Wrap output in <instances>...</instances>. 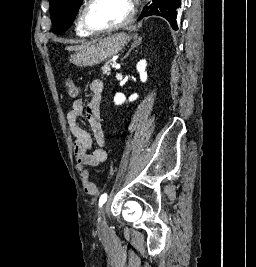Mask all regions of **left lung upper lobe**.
Here are the masks:
<instances>
[{"instance_id": "5c2ea615", "label": "left lung upper lobe", "mask_w": 256, "mask_h": 267, "mask_svg": "<svg viewBox=\"0 0 256 267\" xmlns=\"http://www.w3.org/2000/svg\"><path fill=\"white\" fill-rule=\"evenodd\" d=\"M83 0H49L52 25L56 33L65 32L76 17ZM173 0H153L146 5L138 20L150 15H159L173 22Z\"/></svg>"}]
</instances>
